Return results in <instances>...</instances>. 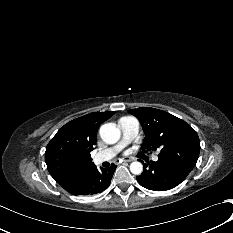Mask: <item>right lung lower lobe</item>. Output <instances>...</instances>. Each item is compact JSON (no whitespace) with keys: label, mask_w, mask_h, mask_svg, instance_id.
I'll return each mask as SVG.
<instances>
[{"label":"right lung lower lobe","mask_w":233,"mask_h":233,"mask_svg":"<svg viewBox=\"0 0 233 233\" xmlns=\"http://www.w3.org/2000/svg\"><path fill=\"white\" fill-rule=\"evenodd\" d=\"M116 166L97 169L96 166L90 169L80 180L76 188L69 192L72 195H93L103 192L111 183Z\"/></svg>","instance_id":"obj_1"}]
</instances>
